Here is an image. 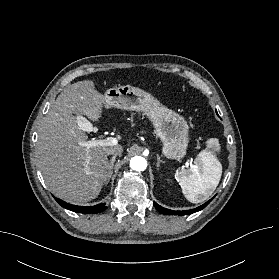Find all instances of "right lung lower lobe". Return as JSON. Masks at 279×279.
I'll return each mask as SVG.
<instances>
[{"label": "right lung lower lobe", "mask_w": 279, "mask_h": 279, "mask_svg": "<svg viewBox=\"0 0 279 279\" xmlns=\"http://www.w3.org/2000/svg\"><path fill=\"white\" fill-rule=\"evenodd\" d=\"M54 198L62 207L78 213H100L104 209H106L105 203L98 204L95 206H76V205H71L69 203H66L56 197Z\"/></svg>", "instance_id": "obj_1"}]
</instances>
